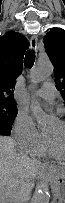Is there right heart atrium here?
<instances>
[{"label": "right heart atrium", "instance_id": "1", "mask_svg": "<svg viewBox=\"0 0 65 203\" xmlns=\"http://www.w3.org/2000/svg\"><path fill=\"white\" fill-rule=\"evenodd\" d=\"M12 134L17 148L25 153L32 152L46 142L44 136L37 130L32 118L24 112L17 115Z\"/></svg>", "mask_w": 65, "mask_h": 203}]
</instances>
